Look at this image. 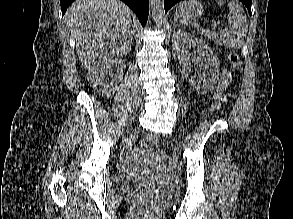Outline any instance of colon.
<instances>
[{
  "mask_svg": "<svg viewBox=\"0 0 293 219\" xmlns=\"http://www.w3.org/2000/svg\"><path fill=\"white\" fill-rule=\"evenodd\" d=\"M229 62L231 64V67L234 71L238 70L241 65H242V61L240 56L236 53V52H231L229 54ZM221 100H216L214 102H212L211 107H210V111L212 113L217 112L218 110H220L221 108ZM158 143V137L155 134H150L145 136L142 140H141V147L142 148H150L154 145H156Z\"/></svg>",
  "mask_w": 293,
  "mask_h": 219,
  "instance_id": "5ec220e1",
  "label": "colon"
}]
</instances>
